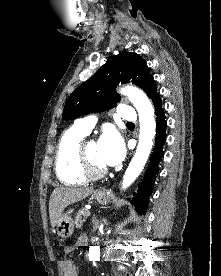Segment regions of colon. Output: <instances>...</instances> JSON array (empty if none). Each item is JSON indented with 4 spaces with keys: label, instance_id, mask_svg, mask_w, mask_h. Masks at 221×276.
<instances>
[{
    "label": "colon",
    "instance_id": "1",
    "mask_svg": "<svg viewBox=\"0 0 221 276\" xmlns=\"http://www.w3.org/2000/svg\"><path fill=\"white\" fill-rule=\"evenodd\" d=\"M53 247H66V242H53Z\"/></svg>",
    "mask_w": 221,
    "mask_h": 276
}]
</instances>
